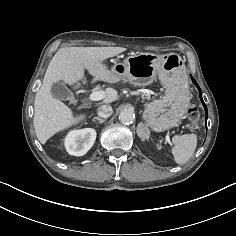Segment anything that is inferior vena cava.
<instances>
[{"instance_id":"obj_1","label":"inferior vena cava","mask_w":236,"mask_h":236,"mask_svg":"<svg viewBox=\"0 0 236 236\" xmlns=\"http://www.w3.org/2000/svg\"><path fill=\"white\" fill-rule=\"evenodd\" d=\"M97 113L102 118H108L112 115L113 110L110 105H101L100 107H98Z\"/></svg>"}]
</instances>
